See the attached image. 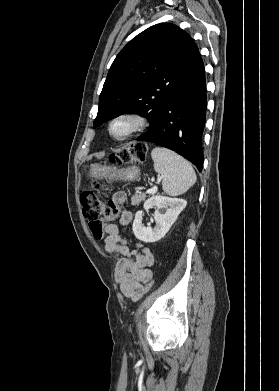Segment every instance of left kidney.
<instances>
[{
  "mask_svg": "<svg viewBox=\"0 0 279 391\" xmlns=\"http://www.w3.org/2000/svg\"><path fill=\"white\" fill-rule=\"evenodd\" d=\"M186 200L181 198H171L161 195L152 196L144 203V209L148 210L156 206L158 211L154 215L156 227H144L142 225L143 211H138L133 221V233L135 237L145 243H152L163 238L169 231L178 215L186 207ZM165 209L164 213L159 210Z\"/></svg>",
  "mask_w": 279,
  "mask_h": 391,
  "instance_id": "1",
  "label": "left kidney"
}]
</instances>
